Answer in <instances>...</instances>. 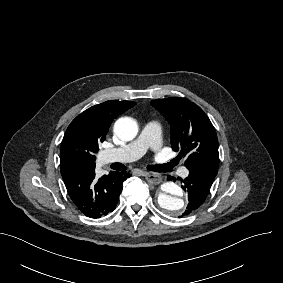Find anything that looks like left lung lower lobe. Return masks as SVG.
Wrapping results in <instances>:
<instances>
[{"mask_svg": "<svg viewBox=\"0 0 283 283\" xmlns=\"http://www.w3.org/2000/svg\"><path fill=\"white\" fill-rule=\"evenodd\" d=\"M189 170V176L181 180L184 184L182 188L188 193V205L179 217L191 214L205 202L218 172L209 167H194Z\"/></svg>", "mask_w": 283, "mask_h": 283, "instance_id": "obj_1", "label": "left lung lower lobe"}]
</instances>
